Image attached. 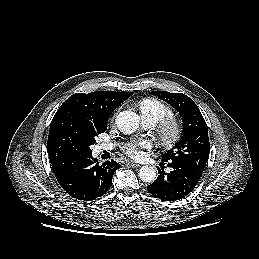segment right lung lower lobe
I'll list each match as a JSON object with an SVG mask.
<instances>
[{
  "label": "right lung lower lobe",
  "instance_id": "right-lung-lower-lobe-1",
  "mask_svg": "<svg viewBox=\"0 0 259 259\" xmlns=\"http://www.w3.org/2000/svg\"><path fill=\"white\" fill-rule=\"evenodd\" d=\"M50 162L61 187L82 201L94 200L105 194L112 185L114 172L120 167L114 160L99 165L92 152L68 155Z\"/></svg>",
  "mask_w": 259,
  "mask_h": 259
}]
</instances>
